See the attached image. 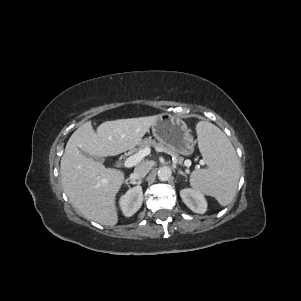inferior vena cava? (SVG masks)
<instances>
[{"instance_id": "1", "label": "inferior vena cava", "mask_w": 301, "mask_h": 301, "mask_svg": "<svg viewBox=\"0 0 301 301\" xmlns=\"http://www.w3.org/2000/svg\"><path fill=\"white\" fill-rule=\"evenodd\" d=\"M151 167L152 166L149 162H144L135 168L134 173H135L136 177L143 178L149 173V171L151 170Z\"/></svg>"}]
</instances>
